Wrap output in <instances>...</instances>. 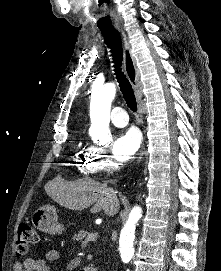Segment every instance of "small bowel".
Returning a JSON list of instances; mask_svg holds the SVG:
<instances>
[{"label":"small bowel","mask_w":221,"mask_h":271,"mask_svg":"<svg viewBox=\"0 0 221 271\" xmlns=\"http://www.w3.org/2000/svg\"><path fill=\"white\" fill-rule=\"evenodd\" d=\"M59 259V252L51 249L46 252L44 258H26L22 262H16L14 271H52L54 263ZM71 270L70 267L66 269Z\"/></svg>","instance_id":"1"}]
</instances>
